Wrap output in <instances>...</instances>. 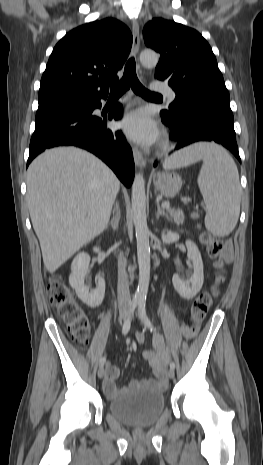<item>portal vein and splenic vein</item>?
<instances>
[{
    "label": "portal vein and splenic vein",
    "mask_w": 263,
    "mask_h": 465,
    "mask_svg": "<svg viewBox=\"0 0 263 465\" xmlns=\"http://www.w3.org/2000/svg\"><path fill=\"white\" fill-rule=\"evenodd\" d=\"M162 207H163L164 209H169V208H170V203L164 202V203H162Z\"/></svg>",
    "instance_id": "1"
}]
</instances>
